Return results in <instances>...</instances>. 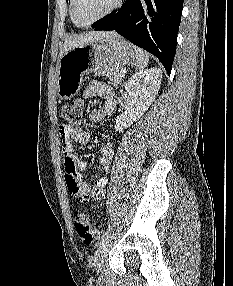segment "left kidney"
Here are the masks:
<instances>
[{"instance_id": "5707ae66", "label": "left kidney", "mask_w": 233, "mask_h": 286, "mask_svg": "<svg viewBox=\"0 0 233 286\" xmlns=\"http://www.w3.org/2000/svg\"><path fill=\"white\" fill-rule=\"evenodd\" d=\"M162 71L158 68L135 73L125 84L128 94L125 112L117 116L115 131L122 132L137 121L149 108L158 94Z\"/></svg>"}]
</instances>
